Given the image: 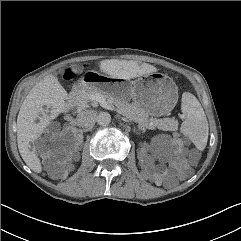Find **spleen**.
I'll return each mask as SVG.
<instances>
[{
	"label": "spleen",
	"instance_id": "1",
	"mask_svg": "<svg viewBox=\"0 0 241 241\" xmlns=\"http://www.w3.org/2000/svg\"><path fill=\"white\" fill-rule=\"evenodd\" d=\"M181 110L185 115L180 128L181 133L187 136L198 150H204L207 145L209 128L201 104L193 94L184 92Z\"/></svg>",
	"mask_w": 241,
	"mask_h": 241
}]
</instances>
